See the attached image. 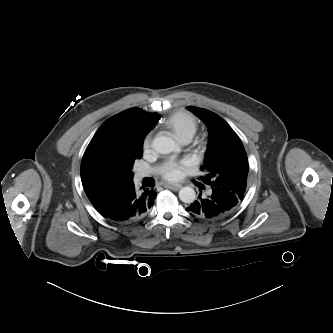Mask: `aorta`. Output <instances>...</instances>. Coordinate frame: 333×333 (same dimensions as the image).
Instances as JSON below:
<instances>
[{"instance_id": "1", "label": "aorta", "mask_w": 333, "mask_h": 333, "mask_svg": "<svg viewBox=\"0 0 333 333\" xmlns=\"http://www.w3.org/2000/svg\"><path fill=\"white\" fill-rule=\"evenodd\" d=\"M153 148L160 154L179 152V147L169 137L159 136L153 140ZM179 198L182 202L191 204L195 201L196 193L191 187H183L179 191Z\"/></svg>"}]
</instances>
